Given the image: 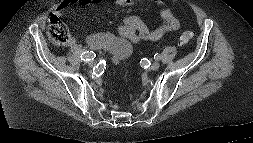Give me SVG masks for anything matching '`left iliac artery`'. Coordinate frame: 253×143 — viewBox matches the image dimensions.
Here are the masks:
<instances>
[{"label":"left iliac artery","mask_w":253,"mask_h":143,"mask_svg":"<svg viewBox=\"0 0 253 143\" xmlns=\"http://www.w3.org/2000/svg\"><path fill=\"white\" fill-rule=\"evenodd\" d=\"M160 58H161V55H160V54H157V53H156V54L154 55V59H155V60H160Z\"/></svg>","instance_id":"44dca946"}]
</instances>
